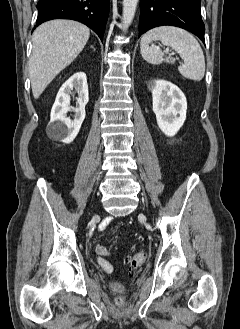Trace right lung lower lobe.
Returning <instances> with one entry per match:
<instances>
[{"mask_svg":"<svg viewBox=\"0 0 240 329\" xmlns=\"http://www.w3.org/2000/svg\"><path fill=\"white\" fill-rule=\"evenodd\" d=\"M110 0H39L34 29L45 21L72 19L90 27L103 41Z\"/></svg>","mask_w":240,"mask_h":329,"instance_id":"98d812e1","label":"right lung lower lobe"}]
</instances>
